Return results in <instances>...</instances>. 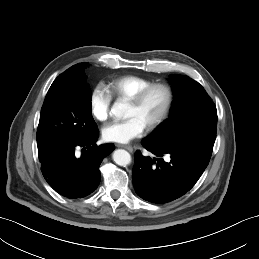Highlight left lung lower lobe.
Here are the masks:
<instances>
[{"instance_id":"1","label":"left lung lower lobe","mask_w":259,"mask_h":259,"mask_svg":"<svg viewBox=\"0 0 259 259\" xmlns=\"http://www.w3.org/2000/svg\"><path fill=\"white\" fill-rule=\"evenodd\" d=\"M141 143L154 157L135 153L133 185L138 196L157 204L173 201L195 185L208 166L214 145L206 139L176 147L159 146L146 138ZM166 154L171 158L168 162L163 159Z\"/></svg>"}]
</instances>
